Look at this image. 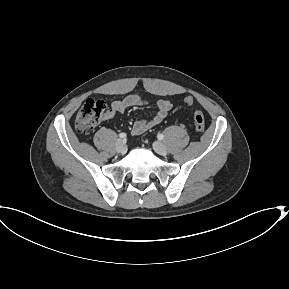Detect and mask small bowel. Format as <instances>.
I'll return each instance as SVG.
<instances>
[{"label": "small bowel", "instance_id": "small-bowel-1", "mask_svg": "<svg viewBox=\"0 0 289 289\" xmlns=\"http://www.w3.org/2000/svg\"><path fill=\"white\" fill-rule=\"evenodd\" d=\"M147 101L137 94H132L124 98L123 100H117L111 103L109 110L104 114L105 120H111L116 117V115L123 113L127 108L134 106H144ZM157 112L150 119H144L136 121L131 129L133 135H140L147 130L160 124L169 111L172 108L170 101L166 99H158L156 101Z\"/></svg>", "mask_w": 289, "mask_h": 289}]
</instances>
